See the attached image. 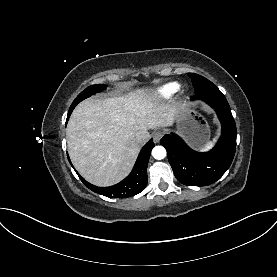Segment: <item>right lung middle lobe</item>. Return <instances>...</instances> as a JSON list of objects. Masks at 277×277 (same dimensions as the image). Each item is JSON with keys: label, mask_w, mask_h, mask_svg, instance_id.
<instances>
[{"label": "right lung middle lobe", "mask_w": 277, "mask_h": 277, "mask_svg": "<svg viewBox=\"0 0 277 277\" xmlns=\"http://www.w3.org/2000/svg\"><path fill=\"white\" fill-rule=\"evenodd\" d=\"M106 88V85H92L87 87L84 91H82L77 98L73 101L69 112H68V116L67 118L69 119L73 109L76 107V105L81 102L82 100L86 99L87 97H90L93 94H96L98 92H101L102 90H104Z\"/></svg>", "instance_id": "dd1d6c3e"}]
</instances>
